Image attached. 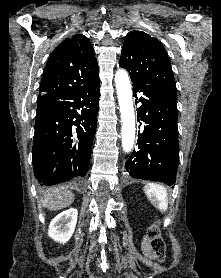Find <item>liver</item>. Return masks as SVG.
Wrapping results in <instances>:
<instances>
[{
	"instance_id": "1",
	"label": "liver",
	"mask_w": 221,
	"mask_h": 278,
	"mask_svg": "<svg viewBox=\"0 0 221 278\" xmlns=\"http://www.w3.org/2000/svg\"><path fill=\"white\" fill-rule=\"evenodd\" d=\"M75 199L74 193L68 187H57L47 190L42 198V204L45 208L57 211L68 207Z\"/></svg>"
}]
</instances>
